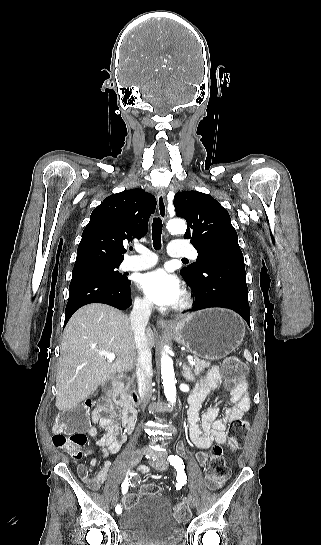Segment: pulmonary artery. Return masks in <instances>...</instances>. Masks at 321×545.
Wrapping results in <instances>:
<instances>
[{
    "label": "pulmonary artery",
    "instance_id": "obj_1",
    "mask_svg": "<svg viewBox=\"0 0 321 545\" xmlns=\"http://www.w3.org/2000/svg\"><path fill=\"white\" fill-rule=\"evenodd\" d=\"M170 247V257L174 261L179 260L180 257L183 261H192L197 258V255H195V248L189 246L187 241H175ZM144 256L148 260L126 258L121 263L120 268L124 271H141L153 267L158 261L157 258L151 259L154 257V254L149 251L146 252Z\"/></svg>",
    "mask_w": 321,
    "mask_h": 545
}]
</instances>
